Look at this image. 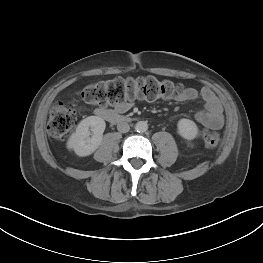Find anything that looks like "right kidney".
<instances>
[{
    "mask_svg": "<svg viewBox=\"0 0 263 263\" xmlns=\"http://www.w3.org/2000/svg\"><path fill=\"white\" fill-rule=\"evenodd\" d=\"M105 127V121L98 116L85 118L70 136L67 147L73 149L78 156L92 154L102 142Z\"/></svg>",
    "mask_w": 263,
    "mask_h": 263,
    "instance_id": "right-kidney-1",
    "label": "right kidney"
}]
</instances>
